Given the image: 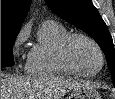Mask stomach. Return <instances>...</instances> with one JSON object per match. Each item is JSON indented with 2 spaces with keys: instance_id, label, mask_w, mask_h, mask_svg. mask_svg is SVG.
Wrapping results in <instances>:
<instances>
[{
  "instance_id": "1",
  "label": "stomach",
  "mask_w": 115,
  "mask_h": 99,
  "mask_svg": "<svg viewBox=\"0 0 115 99\" xmlns=\"http://www.w3.org/2000/svg\"><path fill=\"white\" fill-rule=\"evenodd\" d=\"M101 99L98 92L88 85H82L76 89H73L69 95V99Z\"/></svg>"
}]
</instances>
